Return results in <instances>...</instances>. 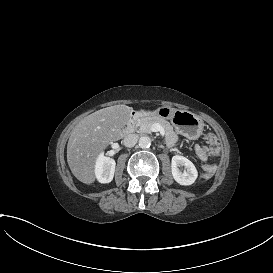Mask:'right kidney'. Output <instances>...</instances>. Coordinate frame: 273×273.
<instances>
[{
  "label": "right kidney",
  "instance_id": "ca27d5eb",
  "mask_svg": "<svg viewBox=\"0 0 273 273\" xmlns=\"http://www.w3.org/2000/svg\"><path fill=\"white\" fill-rule=\"evenodd\" d=\"M116 163L109 157L101 156L97 162L96 175L101 183H110L113 180Z\"/></svg>",
  "mask_w": 273,
  "mask_h": 273
}]
</instances>
